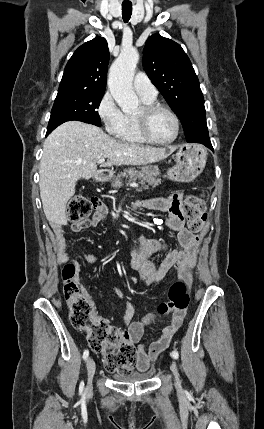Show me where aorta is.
Returning a JSON list of instances; mask_svg holds the SVG:
<instances>
[{
	"instance_id": "aorta-1",
	"label": "aorta",
	"mask_w": 264,
	"mask_h": 429,
	"mask_svg": "<svg viewBox=\"0 0 264 429\" xmlns=\"http://www.w3.org/2000/svg\"><path fill=\"white\" fill-rule=\"evenodd\" d=\"M139 54L134 48H124L110 68L108 87L116 103L124 113L138 109L139 100L132 88Z\"/></svg>"
}]
</instances>
